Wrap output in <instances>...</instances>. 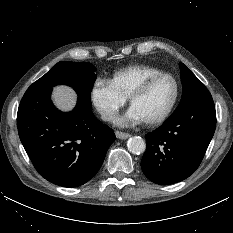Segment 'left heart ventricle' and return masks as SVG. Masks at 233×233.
Returning a JSON list of instances; mask_svg holds the SVG:
<instances>
[{
    "mask_svg": "<svg viewBox=\"0 0 233 233\" xmlns=\"http://www.w3.org/2000/svg\"><path fill=\"white\" fill-rule=\"evenodd\" d=\"M174 91L173 80L168 77L161 78L144 95L137 98L132 107L142 116L143 120L154 119L166 110Z\"/></svg>",
    "mask_w": 233,
    "mask_h": 233,
    "instance_id": "1",
    "label": "left heart ventricle"
}]
</instances>
